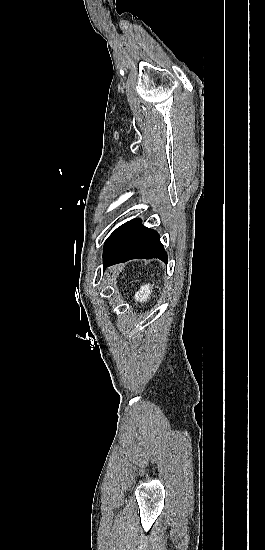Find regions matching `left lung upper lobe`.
Returning a JSON list of instances; mask_svg holds the SVG:
<instances>
[{"label":"left lung upper lobe","instance_id":"5c2ea615","mask_svg":"<svg viewBox=\"0 0 265 550\" xmlns=\"http://www.w3.org/2000/svg\"><path fill=\"white\" fill-rule=\"evenodd\" d=\"M140 222L134 219L118 227L106 240L103 256L113 251Z\"/></svg>","mask_w":265,"mask_h":550}]
</instances>
